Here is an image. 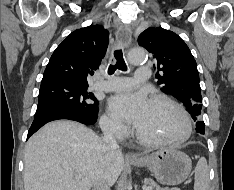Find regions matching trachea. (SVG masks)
<instances>
[{
    "mask_svg": "<svg viewBox=\"0 0 234 190\" xmlns=\"http://www.w3.org/2000/svg\"><path fill=\"white\" fill-rule=\"evenodd\" d=\"M114 56L116 59V63L114 65H110L108 68V74L111 75L115 72L116 69L122 70V71H126L127 70V66L126 63L124 61L123 58V53L122 50H115L114 51Z\"/></svg>",
    "mask_w": 234,
    "mask_h": 190,
    "instance_id": "1",
    "label": "trachea"
}]
</instances>
